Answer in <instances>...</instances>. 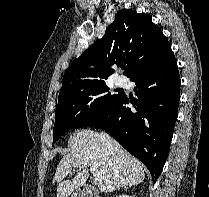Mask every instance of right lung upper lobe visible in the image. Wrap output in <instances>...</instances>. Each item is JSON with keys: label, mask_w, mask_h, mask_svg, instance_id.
<instances>
[{"label": "right lung upper lobe", "mask_w": 209, "mask_h": 197, "mask_svg": "<svg viewBox=\"0 0 209 197\" xmlns=\"http://www.w3.org/2000/svg\"><path fill=\"white\" fill-rule=\"evenodd\" d=\"M171 52V45L151 17L122 9L102 39L75 59L63 76L62 88L83 83L104 82L114 73L112 66L127 64L132 79L159 63Z\"/></svg>", "instance_id": "1"}]
</instances>
